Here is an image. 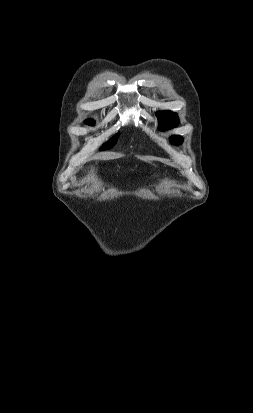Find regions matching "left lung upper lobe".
<instances>
[{
    "label": "left lung upper lobe",
    "instance_id": "5c2ea615",
    "mask_svg": "<svg viewBox=\"0 0 253 413\" xmlns=\"http://www.w3.org/2000/svg\"><path fill=\"white\" fill-rule=\"evenodd\" d=\"M158 120H159L161 130L174 128L179 123L177 114L172 113L171 111L158 112ZM170 142L174 145H179L182 143V137L173 136L171 137Z\"/></svg>",
    "mask_w": 253,
    "mask_h": 413
}]
</instances>
